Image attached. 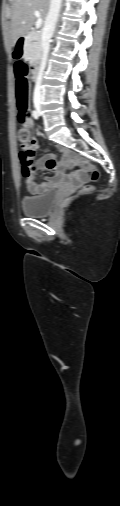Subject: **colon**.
<instances>
[{"label":"colon","mask_w":120,"mask_h":506,"mask_svg":"<svg viewBox=\"0 0 120 506\" xmlns=\"http://www.w3.org/2000/svg\"><path fill=\"white\" fill-rule=\"evenodd\" d=\"M14 51H12V58L15 60L16 64L19 65L14 72V77L16 78V106H17V114L18 119L25 125L29 120L28 113V93H29V82L27 80L28 72L27 67L25 66L28 62L27 55L24 58H16L14 56ZM17 139L22 148L21 156L26 161L28 165H32V158L34 156L35 150L37 148V143L34 140L29 129L24 126L17 132ZM81 170L89 173L90 179L93 182L98 181L100 177V173L98 168L91 164L83 162L80 165ZM90 186H86L84 188L85 191L89 190ZM70 198H66L64 201L68 202Z\"/></svg>","instance_id":"1"}]
</instances>
